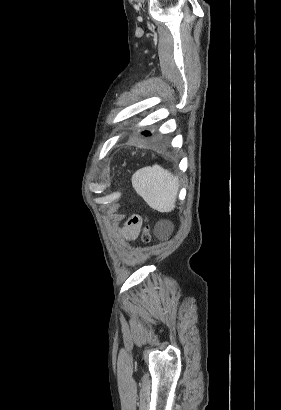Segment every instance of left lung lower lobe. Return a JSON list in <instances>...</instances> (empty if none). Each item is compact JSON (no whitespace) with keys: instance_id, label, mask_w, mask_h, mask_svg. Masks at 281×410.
<instances>
[{"instance_id":"1","label":"left lung lower lobe","mask_w":281,"mask_h":410,"mask_svg":"<svg viewBox=\"0 0 281 410\" xmlns=\"http://www.w3.org/2000/svg\"><path fill=\"white\" fill-rule=\"evenodd\" d=\"M143 134H144L145 136H147V135H150V132H149V131H145V132H143Z\"/></svg>"}]
</instances>
